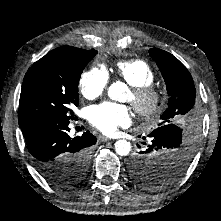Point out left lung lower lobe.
<instances>
[{
    "label": "left lung lower lobe",
    "instance_id": "left-lung-lower-lobe-1",
    "mask_svg": "<svg viewBox=\"0 0 221 221\" xmlns=\"http://www.w3.org/2000/svg\"><path fill=\"white\" fill-rule=\"evenodd\" d=\"M142 167V162L140 160V157L138 154H135L130 160H129V170L130 173L133 171H138Z\"/></svg>",
    "mask_w": 221,
    "mask_h": 221
}]
</instances>
